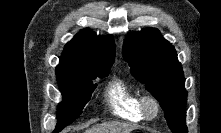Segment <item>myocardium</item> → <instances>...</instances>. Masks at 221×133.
<instances>
[{"mask_svg":"<svg viewBox=\"0 0 221 133\" xmlns=\"http://www.w3.org/2000/svg\"><path fill=\"white\" fill-rule=\"evenodd\" d=\"M140 111L146 120H155L161 113L159 101L152 95H143L139 100Z\"/></svg>","mask_w":221,"mask_h":133,"instance_id":"obj_1","label":"myocardium"}]
</instances>
